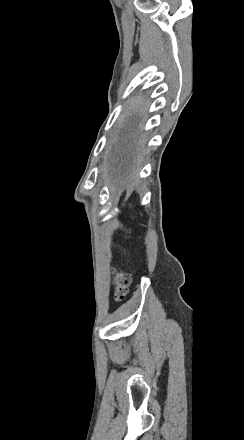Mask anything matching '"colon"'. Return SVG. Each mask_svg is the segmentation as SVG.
Returning <instances> with one entry per match:
<instances>
[{"label": "colon", "mask_w": 244, "mask_h": 440, "mask_svg": "<svg viewBox=\"0 0 244 440\" xmlns=\"http://www.w3.org/2000/svg\"><path fill=\"white\" fill-rule=\"evenodd\" d=\"M131 283V277L120 270H115L113 274V285L115 299L117 301L123 300L127 294V288Z\"/></svg>", "instance_id": "1"}]
</instances>
